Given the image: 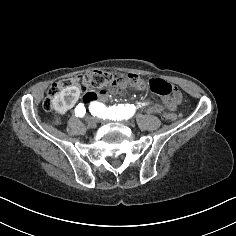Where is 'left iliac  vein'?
<instances>
[{
	"mask_svg": "<svg viewBox=\"0 0 236 236\" xmlns=\"http://www.w3.org/2000/svg\"><path fill=\"white\" fill-rule=\"evenodd\" d=\"M102 123H112V124H126V125H130L131 127L134 126V123H132L131 121H123V120H119V121H113V120H102Z\"/></svg>",
	"mask_w": 236,
	"mask_h": 236,
	"instance_id": "left-iliac-vein-1",
	"label": "left iliac vein"
}]
</instances>
